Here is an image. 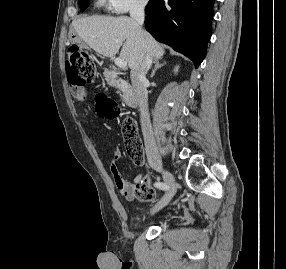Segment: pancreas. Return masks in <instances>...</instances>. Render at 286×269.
I'll use <instances>...</instances> for the list:
<instances>
[{"label": "pancreas", "instance_id": "cf45deb5", "mask_svg": "<svg viewBox=\"0 0 286 269\" xmlns=\"http://www.w3.org/2000/svg\"><path fill=\"white\" fill-rule=\"evenodd\" d=\"M105 80L107 81L108 85L113 86L115 88L122 87V80L117 79V72L116 69L113 68L112 70L106 69L104 71Z\"/></svg>", "mask_w": 286, "mask_h": 269}]
</instances>
